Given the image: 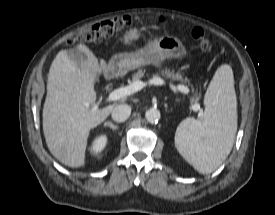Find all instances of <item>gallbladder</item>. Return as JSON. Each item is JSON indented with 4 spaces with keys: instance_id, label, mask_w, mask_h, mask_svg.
Listing matches in <instances>:
<instances>
[{
    "instance_id": "1",
    "label": "gallbladder",
    "mask_w": 275,
    "mask_h": 215,
    "mask_svg": "<svg viewBox=\"0 0 275 215\" xmlns=\"http://www.w3.org/2000/svg\"><path fill=\"white\" fill-rule=\"evenodd\" d=\"M69 54H72L73 58L77 59L80 61V58H84V54L80 53L77 49H70Z\"/></svg>"
}]
</instances>
